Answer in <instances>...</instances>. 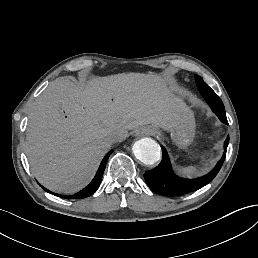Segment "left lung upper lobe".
<instances>
[{"mask_svg":"<svg viewBox=\"0 0 258 258\" xmlns=\"http://www.w3.org/2000/svg\"><path fill=\"white\" fill-rule=\"evenodd\" d=\"M196 80H203L200 76L196 75Z\"/></svg>","mask_w":258,"mask_h":258,"instance_id":"5c2ea615","label":"left lung upper lobe"}]
</instances>
